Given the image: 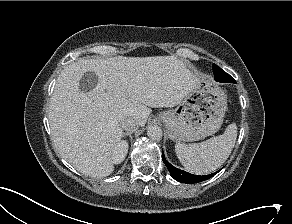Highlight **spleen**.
Instances as JSON below:
<instances>
[{
	"mask_svg": "<svg viewBox=\"0 0 292 224\" xmlns=\"http://www.w3.org/2000/svg\"><path fill=\"white\" fill-rule=\"evenodd\" d=\"M237 138V125L231 123L222 135L197 144L175 145L176 155L184 168L193 174H209L219 168L231 154Z\"/></svg>",
	"mask_w": 292,
	"mask_h": 224,
	"instance_id": "1",
	"label": "spleen"
}]
</instances>
